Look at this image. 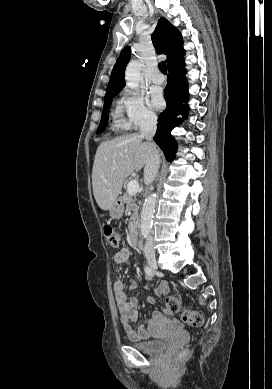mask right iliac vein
<instances>
[{
    "label": "right iliac vein",
    "instance_id": "right-iliac-vein-1",
    "mask_svg": "<svg viewBox=\"0 0 272 389\" xmlns=\"http://www.w3.org/2000/svg\"><path fill=\"white\" fill-rule=\"evenodd\" d=\"M146 259H147L149 266L152 269H154V270L157 269V260H156L155 253H146Z\"/></svg>",
    "mask_w": 272,
    "mask_h": 389
}]
</instances>
